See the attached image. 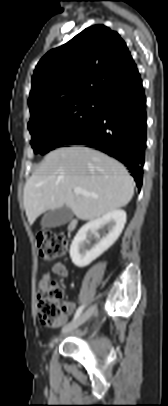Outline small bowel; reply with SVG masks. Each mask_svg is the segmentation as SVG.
Instances as JSON below:
<instances>
[{"instance_id":"c3829d8e","label":"small bowel","mask_w":168,"mask_h":406,"mask_svg":"<svg viewBox=\"0 0 168 406\" xmlns=\"http://www.w3.org/2000/svg\"><path fill=\"white\" fill-rule=\"evenodd\" d=\"M52 271L54 274L60 276V277H66L67 276V270L66 268L61 264V263H56L53 268ZM49 276L46 275V277L42 280V282L40 283V288L42 286H44V283L48 280ZM75 308V304L69 300H65L62 303V309L64 314L62 315V318L59 322V324H57L56 326H50V328H56L58 326H60L61 324H63L66 320L68 315H70L72 313V311Z\"/></svg>"}]
</instances>
